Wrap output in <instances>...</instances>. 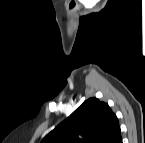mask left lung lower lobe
<instances>
[{
    "mask_svg": "<svg viewBox=\"0 0 145 143\" xmlns=\"http://www.w3.org/2000/svg\"><path fill=\"white\" fill-rule=\"evenodd\" d=\"M117 143H122V138L120 137Z\"/></svg>",
    "mask_w": 145,
    "mask_h": 143,
    "instance_id": "left-lung-lower-lobe-1",
    "label": "left lung lower lobe"
}]
</instances>
